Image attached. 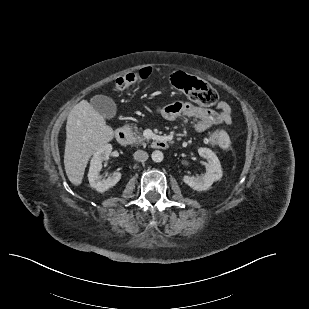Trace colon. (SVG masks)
I'll return each mask as SVG.
<instances>
[{"instance_id":"colon-1","label":"colon","mask_w":309,"mask_h":309,"mask_svg":"<svg viewBox=\"0 0 309 309\" xmlns=\"http://www.w3.org/2000/svg\"><path fill=\"white\" fill-rule=\"evenodd\" d=\"M151 68H144L135 73H129L119 77L115 82L117 90H124L129 86L150 77ZM170 84L177 90L188 95L193 101L203 106H213L218 101L217 92L206 82L183 72H176L170 77ZM217 136L209 138L210 143H215Z\"/></svg>"}]
</instances>
